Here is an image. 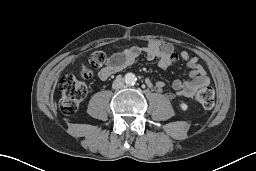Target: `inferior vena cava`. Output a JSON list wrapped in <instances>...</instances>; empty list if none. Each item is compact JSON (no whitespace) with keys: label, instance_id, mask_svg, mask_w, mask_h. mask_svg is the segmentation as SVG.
Masks as SVG:
<instances>
[{"label":"inferior vena cava","instance_id":"obj_1","mask_svg":"<svg viewBox=\"0 0 256 171\" xmlns=\"http://www.w3.org/2000/svg\"><path fill=\"white\" fill-rule=\"evenodd\" d=\"M124 86V79L121 76H117L112 83L113 89H121Z\"/></svg>","mask_w":256,"mask_h":171}]
</instances>
